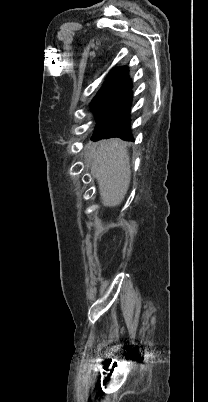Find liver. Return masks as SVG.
<instances>
[{
  "label": "liver",
  "instance_id": "1",
  "mask_svg": "<svg viewBox=\"0 0 208 402\" xmlns=\"http://www.w3.org/2000/svg\"><path fill=\"white\" fill-rule=\"evenodd\" d=\"M99 148H90L87 154L91 172L96 178L104 206H119L130 184V158L127 142L103 140Z\"/></svg>",
  "mask_w": 208,
  "mask_h": 402
}]
</instances>
